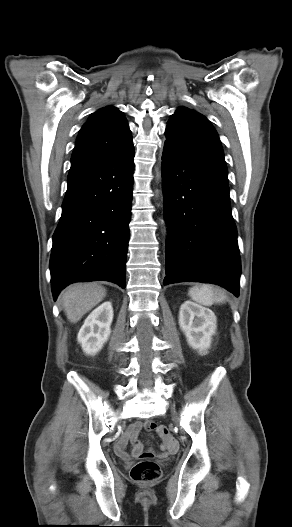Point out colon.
I'll return each mask as SVG.
<instances>
[{
  "label": "colon",
  "instance_id": "5ec220e1",
  "mask_svg": "<svg viewBox=\"0 0 292 527\" xmlns=\"http://www.w3.org/2000/svg\"><path fill=\"white\" fill-rule=\"evenodd\" d=\"M153 425V422L147 421L143 426L146 430H152ZM160 476L161 470L158 464L152 460L146 459V457L137 462L131 469V478L140 483H152L158 480Z\"/></svg>",
  "mask_w": 292,
  "mask_h": 527
}]
</instances>
